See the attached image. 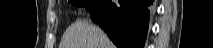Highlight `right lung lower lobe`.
I'll return each mask as SVG.
<instances>
[{
    "mask_svg": "<svg viewBox=\"0 0 213 48\" xmlns=\"http://www.w3.org/2000/svg\"><path fill=\"white\" fill-rule=\"evenodd\" d=\"M153 0H98L91 8L99 23L118 48H143Z\"/></svg>",
    "mask_w": 213,
    "mask_h": 48,
    "instance_id": "right-lung-lower-lobe-1",
    "label": "right lung lower lobe"
}]
</instances>
